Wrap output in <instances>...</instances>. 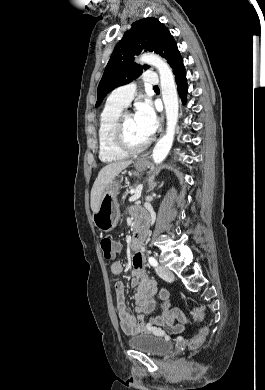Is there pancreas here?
<instances>
[{"mask_svg":"<svg viewBox=\"0 0 265 390\" xmlns=\"http://www.w3.org/2000/svg\"><path fill=\"white\" fill-rule=\"evenodd\" d=\"M130 189H131V188H128V189L125 191V193L123 194V198H125V197L130 193Z\"/></svg>","mask_w":265,"mask_h":390,"instance_id":"pancreas-1","label":"pancreas"}]
</instances>
